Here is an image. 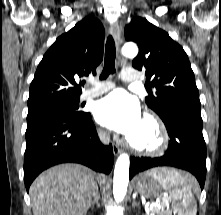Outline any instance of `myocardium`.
<instances>
[{"instance_id": "1", "label": "myocardium", "mask_w": 221, "mask_h": 215, "mask_svg": "<svg viewBox=\"0 0 221 215\" xmlns=\"http://www.w3.org/2000/svg\"><path fill=\"white\" fill-rule=\"evenodd\" d=\"M142 121L148 124L153 130V142L149 145H141L136 143L132 138H127V145L133 152L140 155L153 156L162 153L166 149L169 139L165 124L153 113H146Z\"/></svg>"}]
</instances>
